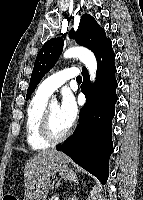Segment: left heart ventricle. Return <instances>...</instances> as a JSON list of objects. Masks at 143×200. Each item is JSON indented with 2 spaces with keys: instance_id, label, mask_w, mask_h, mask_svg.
Returning a JSON list of instances; mask_svg holds the SVG:
<instances>
[{
  "instance_id": "left-heart-ventricle-1",
  "label": "left heart ventricle",
  "mask_w": 143,
  "mask_h": 200,
  "mask_svg": "<svg viewBox=\"0 0 143 200\" xmlns=\"http://www.w3.org/2000/svg\"><path fill=\"white\" fill-rule=\"evenodd\" d=\"M50 127L54 135L60 136L66 132L69 126L62 119L57 104L50 105Z\"/></svg>"
}]
</instances>
